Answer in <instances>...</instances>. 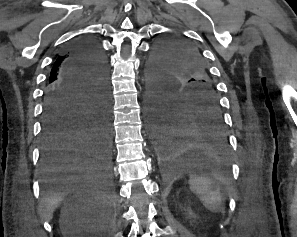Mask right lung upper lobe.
<instances>
[{
    "label": "right lung upper lobe",
    "instance_id": "cb5924a9",
    "mask_svg": "<svg viewBox=\"0 0 297 237\" xmlns=\"http://www.w3.org/2000/svg\"><path fill=\"white\" fill-rule=\"evenodd\" d=\"M69 58V52H66L64 55L58 57L54 66L51 70L50 78H49V85H53L55 83H60L64 81V66Z\"/></svg>",
    "mask_w": 297,
    "mask_h": 237
}]
</instances>
